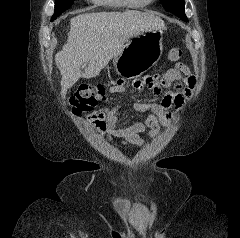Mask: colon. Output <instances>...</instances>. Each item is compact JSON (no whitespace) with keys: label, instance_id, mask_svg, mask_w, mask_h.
Listing matches in <instances>:
<instances>
[{"label":"colon","instance_id":"5ec220e1","mask_svg":"<svg viewBox=\"0 0 240 238\" xmlns=\"http://www.w3.org/2000/svg\"><path fill=\"white\" fill-rule=\"evenodd\" d=\"M181 57L179 48H172L168 51V60L175 62ZM106 87L102 84H82L70 98V105L75 114H82L91 111L98 100L105 97ZM93 123L99 129L105 128V123L99 119H93Z\"/></svg>","mask_w":240,"mask_h":238}]
</instances>
